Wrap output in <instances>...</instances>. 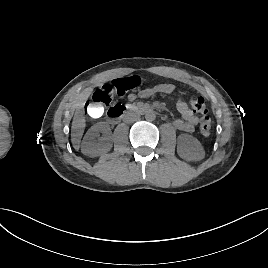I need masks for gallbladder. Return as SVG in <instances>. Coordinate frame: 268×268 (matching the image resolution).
<instances>
[{
	"instance_id": "1",
	"label": "gallbladder",
	"mask_w": 268,
	"mask_h": 268,
	"mask_svg": "<svg viewBox=\"0 0 268 268\" xmlns=\"http://www.w3.org/2000/svg\"><path fill=\"white\" fill-rule=\"evenodd\" d=\"M88 111L92 117L98 118L104 114L105 108L101 102L95 101L89 105Z\"/></svg>"
}]
</instances>
